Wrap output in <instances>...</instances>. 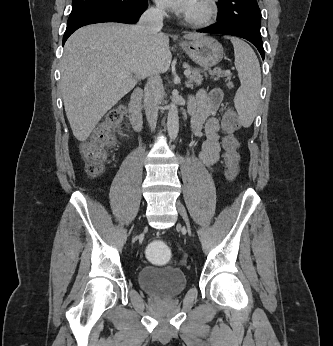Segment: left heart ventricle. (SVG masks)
I'll use <instances>...</instances> for the list:
<instances>
[{"instance_id": "1", "label": "left heart ventricle", "mask_w": 333, "mask_h": 346, "mask_svg": "<svg viewBox=\"0 0 333 346\" xmlns=\"http://www.w3.org/2000/svg\"><path fill=\"white\" fill-rule=\"evenodd\" d=\"M198 8H199V3L197 2V0H195V2L193 3V5L189 11H195Z\"/></svg>"}]
</instances>
